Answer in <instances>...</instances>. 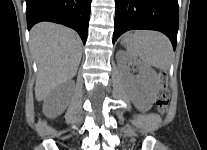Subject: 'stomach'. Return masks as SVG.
I'll list each match as a JSON object with an SVG mask.
<instances>
[{
	"label": "stomach",
	"instance_id": "stomach-1",
	"mask_svg": "<svg viewBox=\"0 0 207 150\" xmlns=\"http://www.w3.org/2000/svg\"><path fill=\"white\" fill-rule=\"evenodd\" d=\"M130 41V37L129 36H126L124 39H123V43L124 44H127L128 42Z\"/></svg>",
	"mask_w": 207,
	"mask_h": 150
}]
</instances>
